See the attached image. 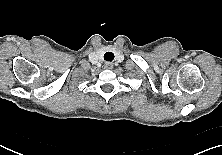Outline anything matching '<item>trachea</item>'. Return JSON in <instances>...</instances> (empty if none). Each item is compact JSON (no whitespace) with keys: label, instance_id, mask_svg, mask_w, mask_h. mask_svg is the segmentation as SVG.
Here are the masks:
<instances>
[{"label":"trachea","instance_id":"1","mask_svg":"<svg viewBox=\"0 0 222 155\" xmlns=\"http://www.w3.org/2000/svg\"><path fill=\"white\" fill-rule=\"evenodd\" d=\"M104 60L109 61V62L113 61L114 60V54L112 52H106L104 54Z\"/></svg>","mask_w":222,"mask_h":155}]
</instances>
